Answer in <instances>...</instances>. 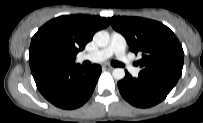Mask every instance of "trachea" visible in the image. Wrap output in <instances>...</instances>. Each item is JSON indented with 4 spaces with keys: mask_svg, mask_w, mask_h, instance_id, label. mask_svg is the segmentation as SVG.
I'll return each mask as SVG.
<instances>
[{
    "mask_svg": "<svg viewBox=\"0 0 203 123\" xmlns=\"http://www.w3.org/2000/svg\"><path fill=\"white\" fill-rule=\"evenodd\" d=\"M111 64L115 67H123L124 65L118 61H112Z\"/></svg>",
    "mask_w": 203,
    "mask_h": 123,
    "instance_id": "trachea-1",
    "label": "trachea"
}]
</instances>
